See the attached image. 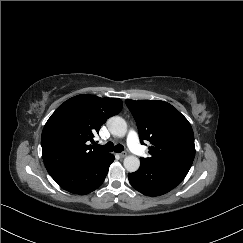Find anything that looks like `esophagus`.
<instances>
[{
  "label": "esophagus",
  "mask_w": 243,
  "mask_h": 243,
  "mask_svg": "<svg viewBox=\"0 0 243 243\" xmlns=\"http://www.w3.org/2000/svg\"><path fill=\"white\" fill-rule=\"evenodd\" d=\"M119 156H120L121 158H124V157L127 156V152H126V151H123V152L119 153Z\"/></svg>",
  "instance_id": "esophagus-1"
}]
</instances>
